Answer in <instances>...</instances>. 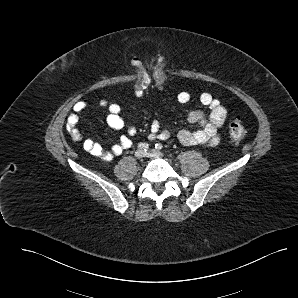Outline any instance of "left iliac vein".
<instances>
[{
  "label": "left iliac vein",
  "mask_w": 298,
  "mask_h": 298,
  "mask_svg": "<svg viewBox=\"0 0 298 298\" xmlns=\"http://www.w3.org/2000/svg\"><path fill=\"white\" fill-rule=\"evenodd\" d=\"M145 155L150 158H160L162 156V153L157 150H151L147 152Z\"/></svg>",
  "instance_id": "1"
}]
</instances>
